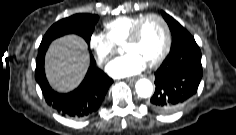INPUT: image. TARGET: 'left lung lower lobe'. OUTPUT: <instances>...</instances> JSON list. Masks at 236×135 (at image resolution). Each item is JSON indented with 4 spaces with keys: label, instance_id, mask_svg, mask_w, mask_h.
<instances>
[{
    "label": "left lung lower lobe",
    "instance_id": "left-lung-lower-lobe-1",
    "mask_svg": "<svg viewBox=\"0 0 236 135\" xmlns=\"http://www.w3.org/2000/svg\"><path fill=\"white\" fill-rule=\"evenodd\" d=\"M175 44L155 72V93L149 107L169 114L183 106L197 92L203 70L201 51L195 40H187V31L178 22L170 26Z\"/></svg>",
    "mask_w": 236,
    "mask_h": 135
}]
</instances>
